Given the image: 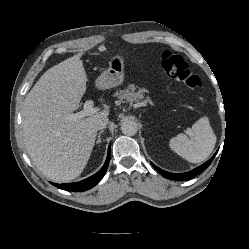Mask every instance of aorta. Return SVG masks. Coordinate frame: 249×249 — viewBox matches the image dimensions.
<instances>
[{
    "mask_svg": "<svg viewBox=\"0 0 249 249\" xmlns=\"http://www.w3.org/2000/svg\"><path fill=\"white\" fill-rule=\"evenodd\" d=\"M121 131L124 135H127V136L135 135L138 131L136 122L133 120H125L121 124Z\"/></svg>",
    "mask_w": 249,
    "mask_h": 249,
    "instance_id": "762f6f07",
    "label": "aorta"
}]
</instances>
